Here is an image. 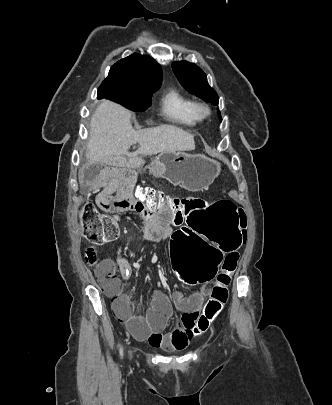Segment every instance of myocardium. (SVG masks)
Here are the masks:
<instances>
[{
    "mask_svg": "<svg viewBox=\"0 0 332 405\" xmlns=\"http://www.w3.org/2000/svg\"><path fill=\"white\" fill-rule=\"evenodd\" d=\"M195 110L200 119H204L210 114V108L205 102H196Z\"/></svg>",
    "mask_w": 332,
    "mask_h": 405,
    "instance_id": "myocardium-1",
    "label": "myocardium"
}]
</instances>
